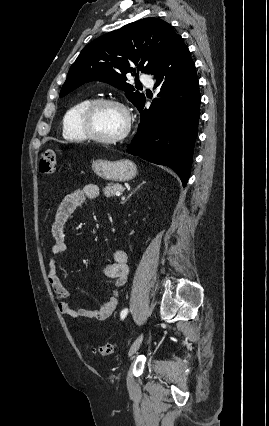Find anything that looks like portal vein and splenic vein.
Wrapping results in <instances>:
<instances>
[{
    "label": "portal vein and splenic vein",
    "instance_id": "1",
    "mask_svg": "<svg viewBox=\"0 0 269 426\" xmlns=\"http://www.w3.org/2000/svg\"><path fill=\"white\" fill-rule=\"evenodd\" d=\"M115 195H116V196H120V195H121V191H117V192L115 193Z\"/></svg>",
    "mask_w": 269,
    "mask_h": 426
}]
</instances>
